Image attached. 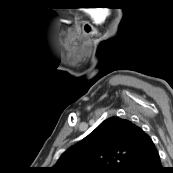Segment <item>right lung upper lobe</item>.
<instances>
[{"label": "right lung upper lobe", "instance_id": "1", "mask_svg": "<svg viewBox=\"0 0 173 173\" xmlns=\"http://www.w3.org/2000/svg\"><path fill=\"white\" fill-rule=\"evenodd\" d=\"M153 149V141L140 127L111 117L65 151L50 173H121Z\"/></svg>", "mask_w": 173, "mask_h": 173}]
</instances>
